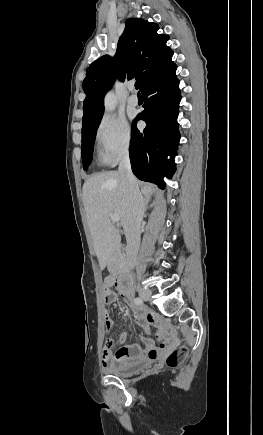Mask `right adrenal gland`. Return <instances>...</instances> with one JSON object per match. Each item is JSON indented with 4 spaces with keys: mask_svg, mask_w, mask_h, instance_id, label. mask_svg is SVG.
<instances>
[{
    "mask_svg": "<svg viewBox=\"0 0 263 435\" xmlns=\"http://www.w3.org/2000/svg\"><path fill=\"white\" fill-rule=\"evenodd\" d=\"M148 203H149V200H146V201H145V206H147V205H148Z\"/></svg>",
    "mask_w": 263,
    "mask_h": 435,
    "instance_id": "1",
    "label": "right adrenal gland"
}]
</instances>
